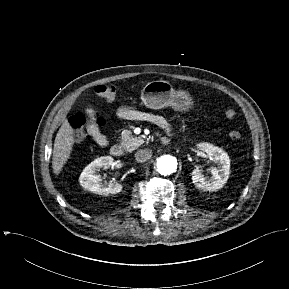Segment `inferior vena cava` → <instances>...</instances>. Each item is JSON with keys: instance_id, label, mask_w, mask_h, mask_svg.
Here are the masks:
<instances>
[{"instance_id": "obj_1", "label": "inferior vena cava", "mask_w": 289, "mask_h": 289, "mask_svg": "<svg viewBox=\"0 0 289 289\" xmlns=\"http://www.w3.org/2000/svg\"><path fill=\"white\" fill-rule=\"evenodd\" d=\"M152 156L150 149H140L135 153V158L138 162H146Z\"/></svg>"}]
</instances>
